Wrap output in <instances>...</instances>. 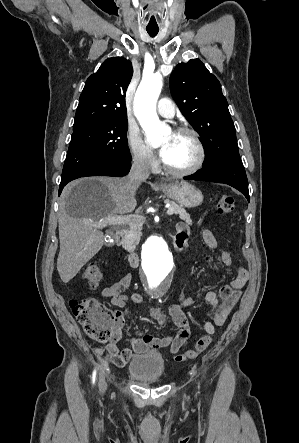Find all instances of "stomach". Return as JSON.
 <instances>
[{
  "mask_svg": "<svg viewBox=\"0 0 299 443\" xmlns=\"http://www.w3.org/2000/svg\"><path fill=\"white\" fill-rule=\"evenodd\" d=\"M160 189L168 198L176 201L182 207L193 208L203 202L202 192L187 182L167 183L161 186Z\"/></svg>",
  "mask_w": 299,
  "mask_h": 443,
  "instance_id": "stomach-1",
  "label": "stomach"
}]
</instances>
